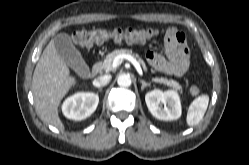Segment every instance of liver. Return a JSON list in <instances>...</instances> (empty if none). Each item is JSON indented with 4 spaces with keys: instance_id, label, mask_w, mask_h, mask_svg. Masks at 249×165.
Instances as JSON below:
<instances>
[{
    "instance_id": "liver-1",
    "label": "liver",
    "mask_w": 249,
    "mask_h": 165,
    "mask_svg": "<svg viewBox=\"0 0 249 165\" xmlns=\"http://www.w3.org/2000/svg\"><path fill=\"white\" fill-rule=\"evenodd\" d=\"M77 84V79L70 75L66 63L58 55L54 40H51L35 67L31 86L35 107L42 121L64 129L58 107Z\"/></svg>"
}]
</instances>
